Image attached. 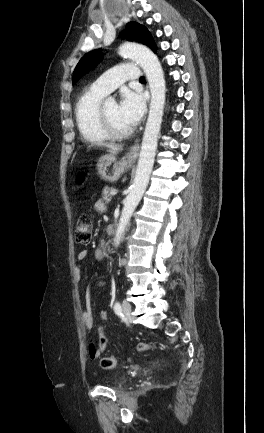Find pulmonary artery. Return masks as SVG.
<instances>
[{
    "mask_svg": "<svg viewBox=\"0 0 264 433\" xmlns=\"http://www.w3.org/2000/svg\"><path fill=\"white\" fill-rule=\"evenodd\" d=\"M140 79L139 68L135 64H119L96 79L91 88L102 94H109L127 80Z\"/></svg>",
    "mask_w": 264,
    "mask_h": 433,
    "instance_id": "e3ab8cb5",
    "label": "pulmonary artery"
}]
</instances>
